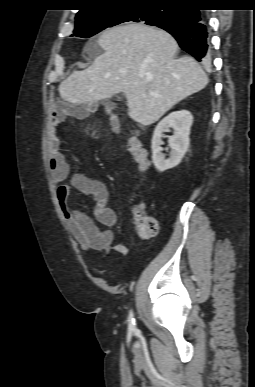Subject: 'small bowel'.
I'll use <instances>...</instances> for the list:
<instances>
[{
  "label": "small bowel",
  "instance_id": "small-bowel-1",
  "mask_svg": "<svg viewBox=\"0 0 255 387\" xmlns=\"http://www.w3.org/2000/svg\"><path fill=\"white\" fill-rule=\"evenodd\" d=\"M64 116L65 112L62 109L53 111L49 142V167L60 183L56 196L63 220L82 249L127 254L128 247L122 243H114L111 230H101L90 217L72 207L70 195L75 189L94 198L96 202L94 216L99 223L113 227L117 222L115 210L108 205L109 193L106 185L85 174H70L69 166L60 151L61 137L57 132V126L63 121Z\"/></svg>",
  "mask_w": 255,
  "mask_h": 387
}]
</instances>
